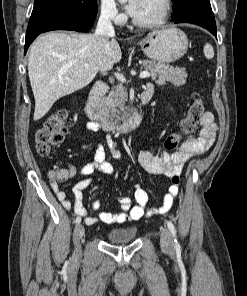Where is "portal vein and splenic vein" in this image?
<instances>
[{"label":"portal vein and splenic vein","instance_id":"obj_1","mask_svg":"<svg viewBox=\"0 0 247 296\" xmlns=\"http://www.w3.org/2000/svg\"><path fill=\"white\" fill-rule=\"evenodd\" d=\"M85 67H88V65H86ZM150 76H152V74L149 73L148 71H143V72H141L140 75H139V77H140L141 79H143V78H147V77H150ZM115 77H116L120 82H122V83H125V82H126L125 77H124L122 74H120V73H115Z\"/></svg>","mask_w":247,"mask_h":296}]
</instances>
